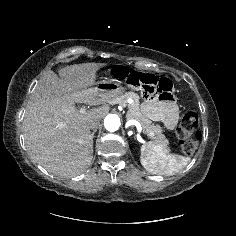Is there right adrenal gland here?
<instances>
[{
    "label": "right adrenal gland",
    "mask_w": 236,
    "mask_h": 236,
    "mask_svg": "<svg viewBox=\"0 0 236 236\" xmlns=\"http://www.w3.org/2000/svg\"><path fill=\"white\" fill-rule=\"evenodd\" d=\"M96 130L92 132V136L94 137V134H95Z\"/></svg>",
    "instance_id": "2a0ac1e0"
}]
</instances>
